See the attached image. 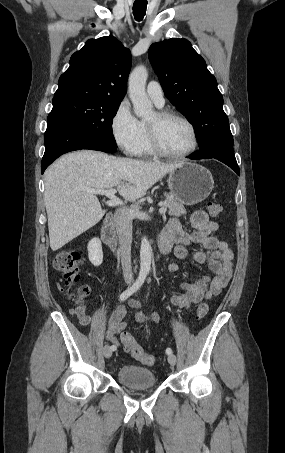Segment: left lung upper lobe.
I'll use <instances>...</instances> for the list:
<instances>
[{"label": "left lung upper lobe", "mask_w": 285, "mask_h": 453, "mask_svg": "<svg viewBox=\"0 0 285 453\" xmlns=\"http://www.w3.org/2000/svg\"><path fill=\"white\" fill-rule=\"evenodd\" d=\"M148 54L166 97L193 125L200 149L215 143L233 144L216 78L191 43L164 40L152 44Z\"/></svg>", "instance_id": "left-lung-upper-lobe-1"}]
</instances>
